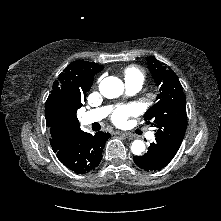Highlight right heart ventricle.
I'll return each mask as SVG.
<instances>
[{"label":"right heart ventricle","mask_w":221,"mask_h":221,"mask_svg":"<svg viewBox=\"0 0 221 221\" xmlns=\"http://www.w3.org/2000/svg\"><path fill=\"white\" fill-rule=\"evenodd\" d=\"M127 78H137L143 81L144 75L142 71L137 67H128L125 71V79Z\"/></svg>","instance_id":"1"}]
</instances>
